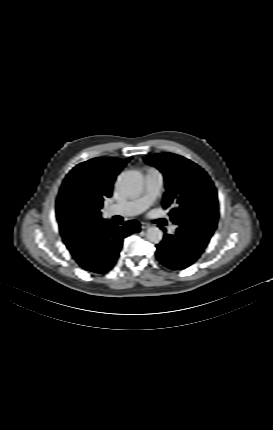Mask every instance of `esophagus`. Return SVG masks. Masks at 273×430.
I'll return each instance as SVG.
<instances>
[{"label":"esophagus","mask_w":273,"mask_h":430,"mask_svg":"<svg viewBox=\"0 0 273 430\" xmlns=\"http://www.w3.org/2000/svg\"><path fill=\"white\" fill-rule=\"evenodd\" d=\"M150 227V224L149 223H147V222H141V228L142 229H147V228H149Z\"/></svg>","instance_id":"1"}]
</instances>
